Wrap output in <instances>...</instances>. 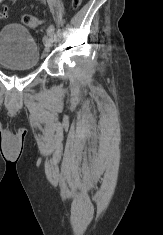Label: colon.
Segmentation results:
<instances>
[{"label": "colon", "instance_id": "1", "mask_svg": "<svg viewBox=\"0 0 163 235\" xmlns=\"http://www.w3.org/2000/svg\"><path fill=\"white\" fill-rule=\"evenodd\" d=\"M81 3H82V0H71V4L74 8H78L81 5ZM7 16H8L7 8L0 10V19H4ZM21 21L25 26L30 27V28L39 27L42 23L41 20L29 14H23L21 16Z\"/></svg>", "mask_w": 163, "mask_h": 235}]
</instances>
